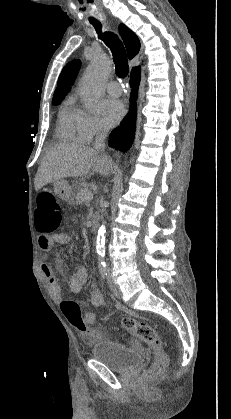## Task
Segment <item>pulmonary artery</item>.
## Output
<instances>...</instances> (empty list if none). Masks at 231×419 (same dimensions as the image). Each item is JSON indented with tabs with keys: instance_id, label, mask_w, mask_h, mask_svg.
Listing matches in <instances>:
<instances>
[{
	"instance_id": "pulmonary-artery-1",
	"label": "pulmonary artery",
	"mask_w": 231,
	"mask_h": 419,
	"mask_svg": "<svg viewBox=\"0 0 231 419\" xmlns=\"http://www.w3.org/2000/svg\"><path fill=\"white\" fill-rule=\"evenodd\" d=\"M106 90L112 96H119L122 93L121 85L115 81L107 83Z\"/></svg>"
}]
</instances>
